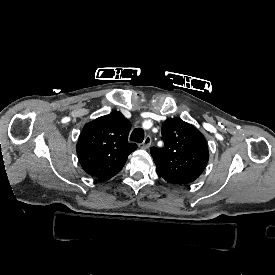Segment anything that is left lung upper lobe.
<instances>
[{
	"instance_id": "1",
	"label": "left lung upper lobe",
	"mask_w": 275,
	"mask_h": 275,
	"mask_svg": "<svg viewBox=\"0 0 275 275\" xmlns=\"http://www.w3.org/2000/svg\"><path fill=\"white\" fill-rule=\"evenodd\" d=\"M163 148H151L157 170L173 184L186 185L203 172L209 152L203 134L191 124L167 118L161 129Z\"/></svg>"
}]
</instances>
